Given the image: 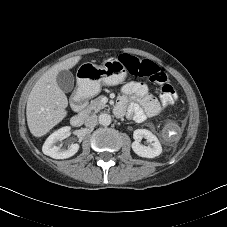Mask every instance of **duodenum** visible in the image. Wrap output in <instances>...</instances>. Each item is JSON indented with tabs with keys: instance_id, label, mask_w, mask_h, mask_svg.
I'll return each mask as SVG.
<instances>
[{
	"instance_id": "1",
	"label": "duodenum",
	"mask_w": 227,
	"mask_h": 227,
	"mask_svg": "<svg viewBox=\"0 0 227 227\" xmlns=\"http://www.w3.org/2000/svg\"><path fill=\"white\" fill-rule=\"evenodd\" d=\"M84 86H79L76 92L73 94L71 99V107L76 113L71 117L70 123L73 127H80L84 121L83 109L86 105V97L84 95Z\"/></svg>"
}]
</instances>
